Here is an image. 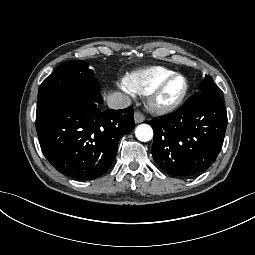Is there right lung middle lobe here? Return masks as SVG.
<instances>
[{
  "instance_id": "1",
  "label": "right lung middle lobe",
  "mask_w": 255,
  "mask_h": 255,
  "mask_svg": "<svg viewBox=\"0 0 255 255\" xmlns=\"http://www.w3.org/2000/svg\"><path fill=\"white\" fill-rule=\"evenodd\" d=\"M99 83L88 63L71 60L59 65L39 87L37 107L63 94L77 93L101 102Z\"/></svg>"
}]
</instances>
